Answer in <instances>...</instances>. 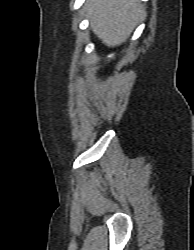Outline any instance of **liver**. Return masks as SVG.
I'll return each instance as SVG.
<instances>
[{"label": "liver", "mask_w": 194, "mask_h": 250, "mask_svg": "<svg viewBox=\"0 0 194 250\" xmlns=\"http://www.w3.org/2000/svg\"><path fill=\"white\" fill-rule=\"evenodd\" d=\"M84 8L93 33L108 47L125 42L144 14L138 0H87Z\"/></svg>", "instance_id": "liver-1"}]
</instances>
